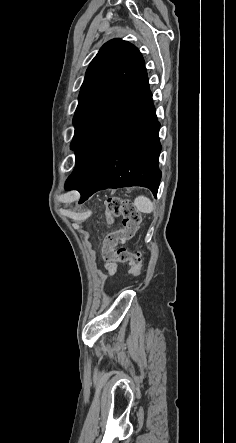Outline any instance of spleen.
I'll use <instances>...</instances> for the list:
<instances>
[{"label": "spleen", "instance_id": "spleen-1", "mask_svg": "<svg viewBox=\"0 0 236 443\" xmlns=\"http://www.w3.org/2000/svg\"><path fill=\"white\" fill-rule=\"evenodd\" d=\"M134 204L137 207V209L142 213H151L154 210V204L151 202V200L146 196H138L134 200Z\"/></svg>", "mask_w": 236, "mask_h": 443}]
</instances>
